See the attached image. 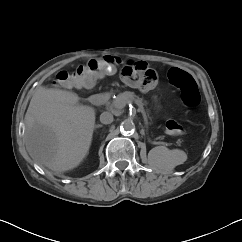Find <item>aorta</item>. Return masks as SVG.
<instances>
[{
	"mask_svg": "<svg viewBox=\"0 0 242 242\" xmlns=\"http://www.w3.org/2000/svg\"><path fill=\"white\" fill-rule=\"evenodd\" d=\"M121 130L127 133L132 132L135 130V124L132 120L126 119L121 125Z\"/></svg>",
	"mask_w": 242,
	"mask_h": 242,
	"instance_id": "762f6f07",
	"label": "aorta"
}]
</instances>
